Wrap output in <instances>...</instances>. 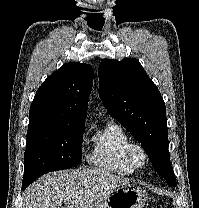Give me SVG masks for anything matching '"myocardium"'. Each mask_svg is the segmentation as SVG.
Instances as JSON below:
<instances>
[{
	"instance_id": "myocardium-1",
	"label": "myocardium",
	"mask_w": 199,
	"mask_h": 208,
	"mask_svg": "<svg viewBox=\"0 0 199 208\" xmlns=\"http://www.w3.org/2000/svg\"><path fill=\"white\" fill-rule=\"evenodd\" d=\"M141 154V159H137L135 153ZM126 160L134 169L144 167L148 162V153L145 147L139 142H130L125 150Z\"/></svg>"
}]
</instances>
